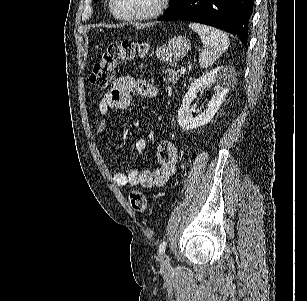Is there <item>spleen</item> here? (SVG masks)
I'll return each mask as SVG.
<instances>
[{"instance_id":"obj_1","label":"spleen","mask_w":307,"mask_h":301,"mask_svg":"<svg viewBox=\"0 0 307 301\" xmlns=\"http://www.w3.org/2000/svg\"><path fill=\"white\" fill-rule=\"evenodd\" d=\"M189 26L192 30L198 32L203 42L204 48L199 56L201 68L212 66L215 60L227 50L230 38H228L226 32L219 30V28H214V26L199 24V22H190Z\"/></svg>"}]
</instances>
